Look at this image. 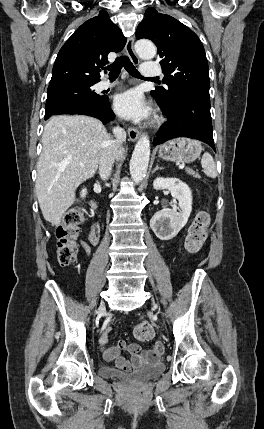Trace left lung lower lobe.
I'll use <instances>...</instances> for the list:
<instances>
[{
    "mask_svg": "<svg viewBox=\"0 0 264 429\" xmlns=\"http://www.w3.org/2000/svg\"><path fill=\"white\" fill-rule=\"evenodd\" d=\"M158 105L168 120L154 138V145L177 137H189L207 143L216 151L209 97L179 91L171 103L158 102Z\"/></svg>",
    "mask_w": 264,
    "mask_h": 429,
    "instance_id": "0a47b994",
    "label": "left lung lower lobe"
}]
</instances>
